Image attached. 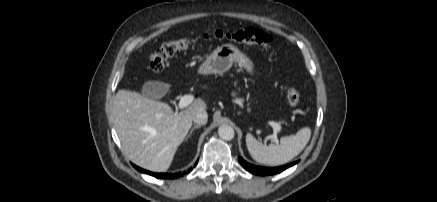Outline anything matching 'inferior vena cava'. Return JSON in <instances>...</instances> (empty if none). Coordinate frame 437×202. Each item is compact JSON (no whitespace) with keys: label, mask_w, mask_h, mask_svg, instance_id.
<instances>
[{"label":"inferior vena cava","mask_w":437,"mask_h":202,"mask_svg":"<svg viewBox=\"0 0 437 202\" xmlns=\"http://www.w3.org/2000/svg\"><path fill=\"white\" fill-rule=\"evenodd\" d=\"M192 120L194 123H197L198 125L206 124L208 120L207 112L205 110L198 111L193 115Z\"/></svg>","instance_id":"1"}]
</instances>
